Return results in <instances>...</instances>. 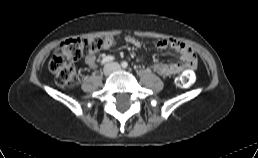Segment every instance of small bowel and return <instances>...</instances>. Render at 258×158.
I'll use <instances>...</instances> for the list:
<instances>
[{
  "label": "small bowel",
  "instance_id": "small-bowel-1",
  "mask_svg": "<svg viewBox=\"0 0 258 158\" xmlns=\"http://www.w3.org/2000/svg\"><path fill=\"white\" fill-rule=\"evenodd\" d=\"M126 42L136 49L141 48V42L134 37L128 36ZM115 44L114 38L107 37L105 38L104 49H111ZM166 47H170L179 53L182 63L157 62L151 66L154 72L160 76L168 77L184 71H192L194 69L196 65V55L188 45L174 38L160 40L156 43L157 49H164ZM85 61L90 68H95L97 66V59L93 54L86 56Z\"/></svg>",
  "mask_w": 258,
  "mask_h": 158
}]
</instances>
